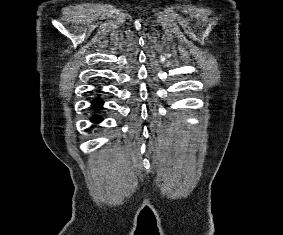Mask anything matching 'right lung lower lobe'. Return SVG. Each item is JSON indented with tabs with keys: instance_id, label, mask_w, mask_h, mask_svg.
Listing matches in <instances>:
<instances>
[{
	"instance_id": "98d812e1",
	"label": "right lung lower lobe",
	"mask_w": 283,
	"mask_h": 235,
	"mask_svg": "<svg viewBox=\"0 0 283 235\" xmlns=\"http://www.w3.org/2000/svg\"><path fill=\"white\" fill-rule=\"evenodd\" d=\"M93 105H94L95 107H97V108H101V106H102V101H101L100 99H96V100L93 101ZM101 120H102V118H101V117H98V116H94V117L92 118V121H93V122H100Z\"/></svg>"
}]
</instances>
